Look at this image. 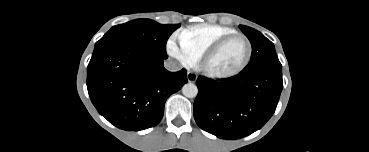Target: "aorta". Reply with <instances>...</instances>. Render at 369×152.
<instances>
[{
	"label": "aorta",
	"instance_id": "aorta-1",
	"mask_svg": "<svg viewBox=\"0 0 369 152\" xmlns=\"http://www.w3.org/2000/svg\"><path fill=\"white\" fill-rule=\"evenodd\" d=\"M182 93L187 98H194L197 96L198 88L193 83H186L182 87Z\"/></svg>",
	"mask_w": 369,
	"mask_h": 152
}]
</instances>
